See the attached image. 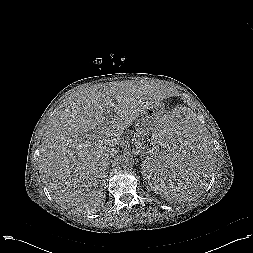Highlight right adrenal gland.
Masks as SVG:
<instances>
[{
    "instance_id": "right-adrenal-gland-1",
    "label": "right adrenal gland",
    "mask_w": 253,
    "mask_h": 253,
    "mask_svg": "<svg viewBox=\"0 0 253 253\" xmlns=\"http://www.w3.org/2000/svg\"><path fill=\"white\" fill-rule=\"evenodd\" d=\"M108 169H109V162H107V166H106L107 174H108Z\"/></svg>"
}]
</instances>
